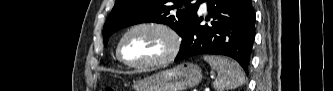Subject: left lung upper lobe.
<instances>
[{"label":"left lung upper lobe","instance_id":"5c2ea615","mask_svg":"<svg viewBox=\"0 0 333 91\" xmlns=\"http://www.w3.org/2000/svg\"><path fill=\"white\" fill-rule=\"evenodd\" d=\"M192 0H116L103 28L104 45L109 37L121 28L157 22L169 25L180 36L196 14L199 3Z\"/></svg>","mask_w":333,"mask_h":91}]
</instances>
